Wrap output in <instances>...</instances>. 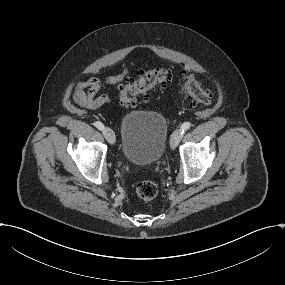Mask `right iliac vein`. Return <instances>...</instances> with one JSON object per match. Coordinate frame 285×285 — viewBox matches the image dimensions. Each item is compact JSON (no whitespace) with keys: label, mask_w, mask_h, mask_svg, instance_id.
I'll use <instances>...</instances> for the list:
<instances>
[{"label":"right iliac vein","mask_w":285,"mask_h":285,"mask_svg":"<svg viewBox=\"0 0 285 285\" xmlns=\"http://www.w3.org/2000/svg\"><path fill=\"white\" fill-rule=\"evenodd\" d=\"M104 136L110 144L115 143V134L109 127L104 128Z\"/></svg>","instance_id":"right-iliac-vein-1"}]
</instances>
